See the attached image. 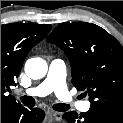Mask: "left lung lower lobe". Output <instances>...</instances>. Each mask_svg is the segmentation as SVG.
<instances>
[{
  "label": "left lung lower lobe",
  "instance_id": "1",
  "mask_svg": "<svg viewBox=\"0 0 123 123\" xmlns=\"http://www.w3.org/2000/svg\"><path fill=\"white\" fill-rule=\"evenodd\" d=\"M69 123H123V111L114 107H94L78 115L76 112H67L63 115Z\"/></svg>",
  "mask_w": 123,
  "mask_h": 123
}]
</instances>
